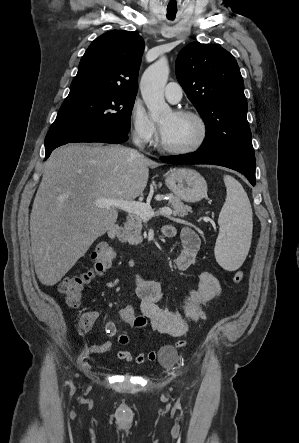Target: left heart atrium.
<instances>
[{"mask_svg": "<svg viewBox=\"0 0 299 443\" xmlns=\"http://www.w3.org/2000/svg\"><path fill=\"white\" fill-rule=\"evenodd\" d=\"M168 128V124H163L160 126V132L163 134Z\"/></svg>", "mask_w": 299, "mask_h": 443, "instance_id": "obj_1", "label": "left heart atrium"}]
</instances>
